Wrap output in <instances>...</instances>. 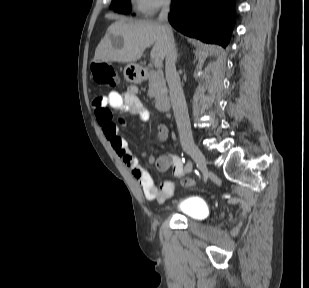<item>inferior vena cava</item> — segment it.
<instances>
[{"label": "inferior vena cava", "instance_id": "1", "mask_svg": "<svg viewBox=\"0 0 309 288\" xmlns=\"http://www.w3.org/2000/svg\"><path fill=\"white\" fill-rule=\"evenodd\" d=\"M170 11V1L167 0L159 14L158 21L161 25L166 38V61L165 73L169 86L170 98L173 107L175 120L178 127L180 142L182 145L193 143L192 133L190 131V122L185 96L181 87L180 77L176 71V51L172 29L168 24V13Z\"/></svg>", "mask_w": 309, "mask_h": 288}]
</instances>
